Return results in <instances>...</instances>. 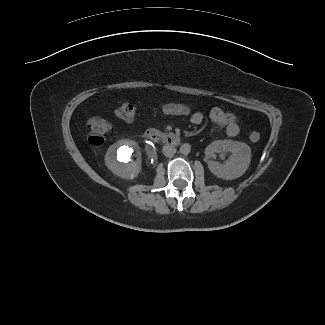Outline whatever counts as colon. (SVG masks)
<instances>
[{
  "label": "colon",
  "instance_id": "1",
  "mask_svg": "<svg viewBox=\"0 0 325 325\" xmlns=\"http://www.w3.org/2000/svg\"><path fill=\"white\" fill-rule=\"evenodd\" d=\"M152 110L167 116L176 117H191L194 114V108L191 105L168 102L160 105L152 106ZM116 115L124 122H132L135 117V108L130 103H123L116 109ZM88 141L93 146H99L104 142L106 135L111 132V123L101 117H91L87 121ZM249 139L252 142L260 140V134L257 131H252L249 134Z\"/></svg>",
  "mask_w": 325,
  "mask_h": 325
}]
</instances>
